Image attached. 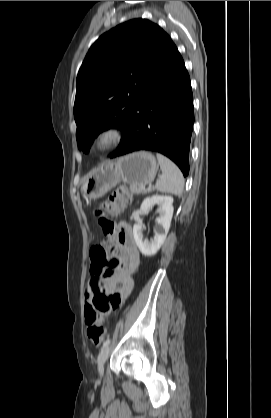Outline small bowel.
<instances>
[{"label": "small bowel", "mask_w": 271, "mask_h": 418, "mask_svg": "<svg viewBox=\"0 0 271 418\" xmlns=\"http://www.w3.org/2000/svg\"><path fill=\"white\" fill-rule=\"evenodd\" d=\"M113 255L118 259L119 265L110 276L102 280L100 285V290L110 300V304L105 313L118 310L131 294L134 287L132 275L139 266L140 253L133 236L132 228L128 224L123 223L119 227L118 245ZM95 293L96 285L94 280L91 279L85 294V312L94 306ZM116 299L118 302L114 303Z\"/></svg>", "instance_id": "small-bowel-1"}]
</instances>
